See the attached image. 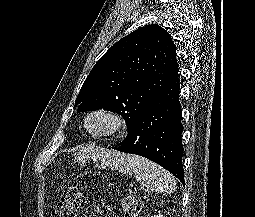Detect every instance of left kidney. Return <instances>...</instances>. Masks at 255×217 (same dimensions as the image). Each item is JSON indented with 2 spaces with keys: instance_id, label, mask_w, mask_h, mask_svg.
Masks as SVG:
<instances>
[{
  "instance_id": "obj_1",
  "label": "left kidney",
  "mask_w": 255,
  "mask_h": 217,
  "mask_svg": "<svg viewBox=\"0 0 255 217\" xmlns=\"http://www.w3.org/2000/svg\"><path fill=\"white\" fill-rule=\"evenodd\" d=\"M153 217H163L161 214L154 215Z\"/></svg>"
}]
</instances>
